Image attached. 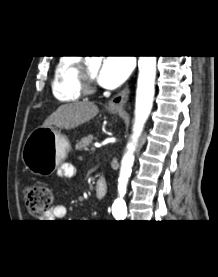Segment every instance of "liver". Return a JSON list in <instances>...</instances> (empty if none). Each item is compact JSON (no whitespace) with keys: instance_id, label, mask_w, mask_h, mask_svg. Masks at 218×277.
I'll use <instances>...</instances> for the list:
<instances>
[{"instance_id":"obj_1","label":"liver","mask_w":218,"mask_h":277,"mask_svg":"<svg viewBox=\"0 0 218 277\" xmlns=\"http://www.w3.org/2000/svg\"><path fill=\"white\" fill-rule=\"evenodd\" d=\"M98 112V107L88 101L63 104L44 121L41 127L55 125L59 128L74 129L94 118Z\"/></svg>"}]
</instances>
